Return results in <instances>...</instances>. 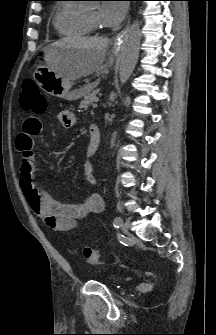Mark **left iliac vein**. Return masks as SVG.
Wrapping results in <instances>:
<instances>
[{"instance_id": "left-iliac-vein-1", "label": "left iliac vein", "mask_w": 216, "mask_h": 335, "mask_svg": "<svg viewBox=\"0 0 216 335\" xmlns=\"http://www.w3.org/2000/svg\"><path fill=\"white\" fill-rule=\"evenodd\" d=\"M130 227V220H125L122 225H121V229L123 233H127Z\"/></svg>"}]
</instances>
